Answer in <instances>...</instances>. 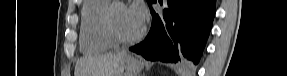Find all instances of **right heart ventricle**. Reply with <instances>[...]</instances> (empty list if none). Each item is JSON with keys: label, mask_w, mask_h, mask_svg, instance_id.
Returning a JSON list of instances; mask_svg holds the SVG:
<instances>
[{"label": "right heart ventricle", "mask_w": 287, "mask_h": 76, "mask_svg": "<svg viewBox=\"0 0 287 76\" xmlns=\"http://www.w3.org/2000/svg\"><path fill=\"white\" fill-rule=\"evenodd\" d=\"M110 0H86L81 8L80 49L85 53L106 51L114 43L104 34L101 20Z\"/></svg>", "instance_id": "e07e8e85"}]
</instances>
